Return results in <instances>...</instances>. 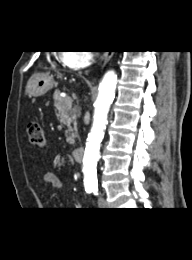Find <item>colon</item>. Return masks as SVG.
Returning a JSON list of instances; mask_svg holds the SVG:
<instances>
[{
	"label": "colon",
	"mask_w": 192,
	"mask_h": 260,
	"mask_svg": "<svg viewBox=\"0 0 192 260\" xmlns=\"http://www.w3.org/2000/svg\"><path fill=\"white\" fill-rule=\"evenodd\" d=\"M27 134L29 143L37 148H43L46 143V134L44 129L36 122H30L27 125Z\"/></svg>",
	"instance_id": "obj_1"
}]
</instances>
